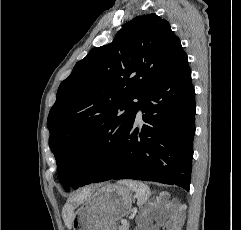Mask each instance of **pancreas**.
<instances>
[{
	"label": "pancreas",
	"mask_w": 241,
	"mask_h": 230,
	"mask_svg": "<svg viewBox=\"0 0 241 230\" xmlns=\"http://www.w3.org/2000/svg\"><path fill=\"white\" fill-rule=\"evenodd\" d=\"M128 224L119 227V230H128Z\"/></svg>",
	"instance_id": "pancreas-1"
}]
</instances>
